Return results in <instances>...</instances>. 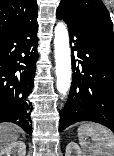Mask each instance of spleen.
I'll return each instance as SVG.
<instances>
[{
  "mask_svg": "<svg viewBox=\"0 0 114 156\" xmlns=\"http://www.w3.org/2000/svg\"><path fill=\"white\" fill-rule=\"evenodd\" d=\"M78 138L86 156H114V134L107 127L84 123L78 128Z\"/></svg>",
  "mask_w": 114,
  "mask_h": 156,
  "instance_id": "spleen-1",
  "label": "spleen"
}]
</instances>
